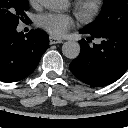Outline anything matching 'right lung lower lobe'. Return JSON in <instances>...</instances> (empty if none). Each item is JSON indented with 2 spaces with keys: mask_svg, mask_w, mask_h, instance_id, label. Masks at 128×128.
<instances>
[{
  "mask_svg": "<svg viewBox=\"0 0 128 128\" xmlns=\"http://www.w3.org/2000/svg\"><path fill=\"white\" fill-rule=\"evenodd\" d=\"M48 46V36L42 31L24 35L16 28L0 29V81L16 82L30 75Z\"/></svg>",
  "mask_w": 128,
  "mask_h": 128,
  "instance_id": "right-lung-lower-lobe-1",
  "label": "right lung lower lobe"
}]
</instances>
